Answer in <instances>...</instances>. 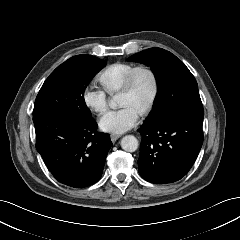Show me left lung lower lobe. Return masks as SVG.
Wrapping results in <instances>:
<instances>
[{
  "instance_id": "0a47b994",
  "label": "left lung lower lobe",
  "mask_w": 240,
  "mask_h": 240,
  "mask_svg": "<svg viewBox=\"0 0 240 240\" xmlns=\"http://www.w3.org/2000/svg\"><path fill=\"white\" fill-rule=\"evenodd\" d=\"M203 116L177 114L157 124L144 123L139 173L155 184L173 183L193 166L203 144Z\"/></svg>"
}]
</instances>
